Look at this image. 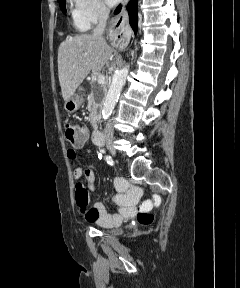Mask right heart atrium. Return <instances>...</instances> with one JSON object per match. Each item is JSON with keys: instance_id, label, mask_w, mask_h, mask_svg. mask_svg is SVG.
Segmentation results:
<instances>
[{"instance_id": "right-heart-atrium-1", "label": "right heart atrium", "mask_w": 240, "mask_h": 288, "mask_svg": "<svg viewBox=\"0 0 240 288\" xmlns=\"http://www.w3.org/2000/svg\"><path fill=\"white\" fill-rule=\"evenodd\" d=\"M75 18L78 23L88 28L108 16V9L103 0H73Z\"/></svg>"}]
</instances>
